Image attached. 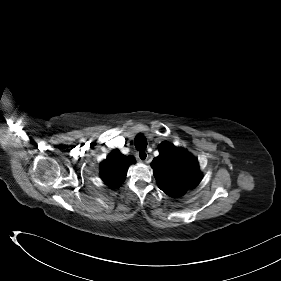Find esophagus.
Segmentation results:
<instances>
[{
    "label": "esophagus",
    "instance_id": "esophagus-1",
    "mask_svg": "<svg viewBox=\"0 0 281 281\" xmlns=\"http://www.w3.org/2000/svg\"><path fill=\"white\" fill-rule=\"evenodd\" d=\"M137 158L140 162H145L148 159V153L145 150H140L137 153Z\"/></svg>",
    "mask_w": 281,
    "mask_h": 281
}]
</instances>
